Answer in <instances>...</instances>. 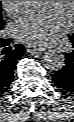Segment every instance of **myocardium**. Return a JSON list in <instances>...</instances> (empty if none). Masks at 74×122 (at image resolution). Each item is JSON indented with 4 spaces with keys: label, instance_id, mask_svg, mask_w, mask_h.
I'll return each instance as SVG.
<instances>
[{
    "label": "myocardium",
    "instance_id": "1",
    "mask_svg": "<svg viewBox=\"0 0 74 122\" xmlns=\"http://www.w3.org/2000/svg\"><path fill=\"white\" fill-rule=\"evenodd\" d=\"M70 14L73 19L74 18V1H70Z\"/></svg>",
    "mask_w": 74,
    "mask_h": 122
}]
</instances>
